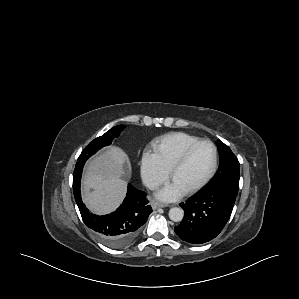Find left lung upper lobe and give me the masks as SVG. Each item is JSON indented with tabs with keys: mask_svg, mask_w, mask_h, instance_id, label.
Masks as SVG:
<instances>
[{
	"mask_svg": "<svg viewBox=\"0 0 299 299\" xmlns=\"http://www.w3.org/2000/svg\"><path fill=\"white\" fill-rule=\"evenodd\" d=\"M220 165L217 173L206 187H230L239 189V161L231 149L221 140L217 141Z\"/></svg>",
	"mask_w": 299,
	"mask_h": 299,
	"instance_id": "obj_1",
	"label": "left lung upper lobe"
}]
</instances>
